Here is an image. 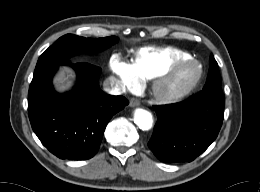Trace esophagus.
<instances>
[{
  "instance_id": "esophagus-1",
  "label": "esophagus",
  "mask_w": 260,
  "mask_h": 192,
  "mask_svg": "<svg viewBox=\"0 0 260 192\" xmlns=\"http://www.w3.org/2000/svg\"><path fill=\"white\" fill-rule=\"evenodd\" d=\"M129 105H130L131 107L139 106V105H140V101H139V99H137V98H131Z\"/></svg>"
}]
</instances>
